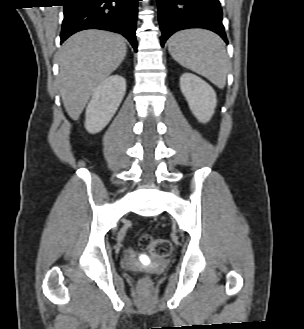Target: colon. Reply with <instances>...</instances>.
<instances>
[{"label": "colon", "mask_w": 304, "mask_h": 329, "mask_svg": "<svg viewBox=\"0 0 304 329\" xmlns=\"http://www.w3.org/2000/svg\"><path fill=\"white\" fill-rule=\"evenodd\" d=\"M139 245L147 250L153 257H167L172 250L171 243L166 238H156L151 234L144 233L139 237ZM143 283L148 282V278L142 280Z\"/></svg>", "instance_id": "5ec220e1"}]
</instances>
